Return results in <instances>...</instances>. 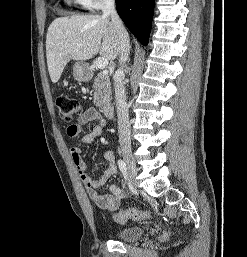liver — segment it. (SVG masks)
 Here are the masks:
<instances>
[{"label":"liver","mask_w":247,"mask_h":257,"mask_svg":"<svg viewBox=\"0 0 247 257\" xmlns=\"http://www.w3.org/2000/svg\"><path fill=\"white\" fill-rule=\"evenodd\" d=\"M119 52L118 34L108 16L59 17L50 24L47 31V65L53 83L58 82L70 60H89L97 53L108 60H114Z\"/></svg>","instance_id":"6515ba94"}]
</instances>
